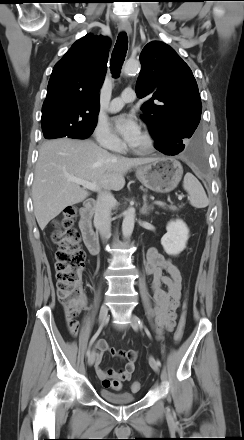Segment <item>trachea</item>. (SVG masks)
Segmentation results:
<instances>
[{"label": "trachea", "mask_w": 244, "mask_h": 440, "mask_svg": "<svg viewBox=\"0 0 244 440\" xmlns=\"http://www.w3.org/2000/svg\"><path fill=\"white\" fill-rule=\"evenodd\" d=\"M128 38L125 32L119 34L111 57V71L116 78L119 76L121 67L126 57Z\"/></svg>", "instance_id": "trachea-1"}]
</instances>
